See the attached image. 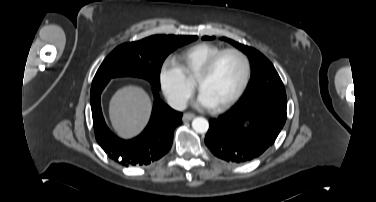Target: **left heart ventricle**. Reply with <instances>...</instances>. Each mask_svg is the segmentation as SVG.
Listing matches in <instances>:
<instances>
[{
    "label": "left heart ventricle",
    "instance_id": "1",
    "mask_svg": "<svg viewBox=\"0 0 376 202\" xmlns=\"http://www.w3.org/2000/svg\"><path fill=\"white\" fill-rule=\"evenodd\" d=\"M244 73V66L234 54L222 56L211 74L200 84L199 89L212 102L213 107L227 101L239 88Z\"/></svg>",
    "mask_w": 376,
    "mask_h": 202
}]
</instances>
